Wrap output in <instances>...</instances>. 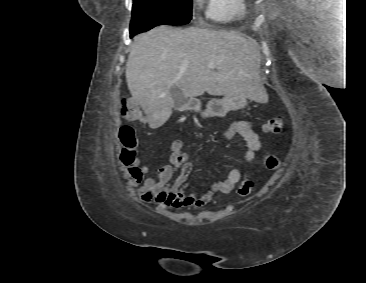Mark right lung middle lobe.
<instances>
[{"label":"right lung middle lobe","instance_id":"right-lung-middle-lobe-1","mask_svg":"<svg viewBox=\"0 0 366 283\" xmlns=\"http://www.w3.org/2000/svg\"><path fill=\"white\" fill-rule=\"evenodd\" d=\"M192 18V0H133L130 33L168 24L184 25Z\"/></svg>","mask_w":366,"mask_h":283}]
</instances>
